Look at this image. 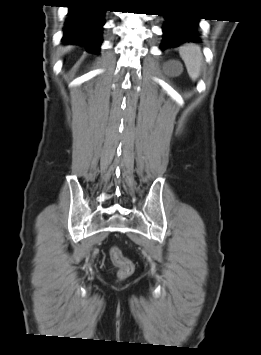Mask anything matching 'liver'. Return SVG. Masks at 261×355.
<instances>
[{"label": "liver", "mask_w": 261, "mask_h": 355, "mask_svg": "<svg viewBox=\"0 0 261 355\" xmlns=\"http://www.w3.org/2000/svg\"><path fill=\"white\" fill-rule=\"evenodd\" d=\"M72 49V46H67L63 49L64 52H68Z\"/></svg>", "instance_id": "obj_1"}]
</instances>
